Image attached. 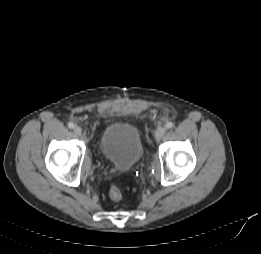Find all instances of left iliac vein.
<instances>
[{
	"mask_svg": "<svg viewBox=\"0 0 261 254\" xmlns=\"http://www.w3.org/2000/svg\"><path fill=\"white\" fill-rule=\"evenodd\" d=\"M165 132H166V128L160 127L155 134L156 141H159L162 138V136L165 134Z\"/></svg>",
	"mask_w": 261,
	"mask_h": 254,
	"instance_id": "obj_1",
	"label": "left iliac vein"
}]
</instances>
